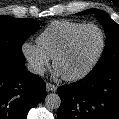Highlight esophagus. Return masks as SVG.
Wrapping results in <instances>:
<instances>
[{
  "mask_svg": "<svg viewBox=\"0 0 119 119\" xmlns=\"http://www.w3.org/2000/svg\"><path fill=\"white\" fill-rule=\"evenodd\" d=\"M46 90L49 92H55L57 90V86L51 83H46Z\"/></svg>",
  "mask_w": 119,
  "mask_h": 119,
  "instance_id": "34e87169",
  "label": "esophagus"
}]
</instances>
